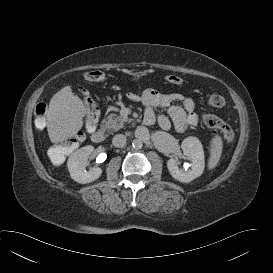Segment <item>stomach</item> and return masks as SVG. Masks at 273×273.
<instances>
[{"label": "stomach", "instance_id": "obj_1", "mask_svg": "<svg viewBox=\"0 0 273 273\" xmlns=\"http://www.w3.org/2000/svg\"><path fill=\"white\" fill-rule=\"evenodd\" d=\"M141 74L140 73H135L134 75H133V79L134 80H138V79H140L141 78Z\"/></svg>", "mask_w": 273, "mask_h": 273}]
</instances>
